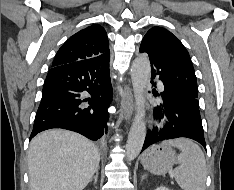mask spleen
<instances>
[{"label": "spleen", "instance_id": "3e777b00", "mask_svg": "<svg viewBox=\"0 0 234 190\" xmlns=\"http://www.w3.org/2000/svg\"><path fill=\"white\" fill-rule=\"evenodd\" d=\"M162 145L174 146L181 150L177 157L180 166L174 172L178 185L183 190H205L207 170L201 148L186 138L166 140Z\"/></svg>", "mask_w": 234, "mask_h": 190}]
</instances>
